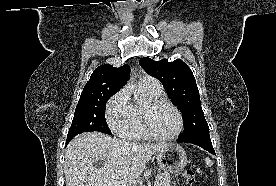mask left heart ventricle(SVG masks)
Instances as JSON below:
<instances>
[{
	"instance_id": "obj_1",
	"label": "left heart ventricle",
	"mask_w": 276,
	"mask_h": 186,
	"mask_svg": "<svg viewBox=\"0 0 276 186\" xmlns=\"http://www.w3.org/2000/svg\"><path fill=\"white\" fill-rule=\"evenodd\" d=\"M151 125L158 135L170 136L177 131L179 119L171 107L163 105L151 113Z\"/></svg>"
}]
</instances>
